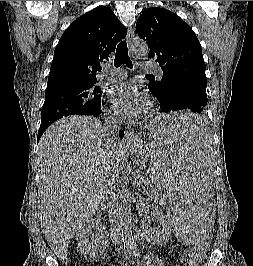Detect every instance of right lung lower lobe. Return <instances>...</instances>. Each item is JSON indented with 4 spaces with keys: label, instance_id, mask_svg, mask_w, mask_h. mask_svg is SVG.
Listing matches in <instances>:
<instances>
[{
    "label": "right lung lower lobe",
    "instance_id": "right-lung-lower-lobe-1",
    "mask_svg": "<svg viewBox=\"0 0 253 266\" xmlns=\"http://www.w3.org/2000/svg\"><path fill=\"white\" fill-rule=\"evenodd\" d=\"M84 115H92V116H95V117H99L101 115V109H99L98 111L96 112H91V113H86ZM48 128V126H42L39 128V131H38V137H37V141H39L40 137L42 136V134L44 133V131ZM119 136L122 138L124 136V131L123 130H120L119 131Z\"/></svg>",
    "mask_w": 253,
    "mask_h": 266
}]
</instances>
